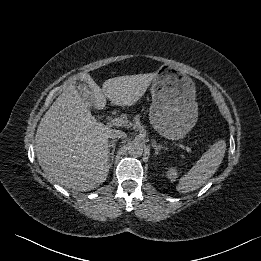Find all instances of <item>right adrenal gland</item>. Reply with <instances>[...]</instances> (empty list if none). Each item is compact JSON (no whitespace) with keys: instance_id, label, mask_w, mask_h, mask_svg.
Here are the masks:
<instances>
[{"instance_id":"1","label":"right adrenal gland","mask_w":261,"mask_h":261,"mask_svg":"<svg viewBox=\"0 0 261 261\" xmlns=\"http://www.w3.org/2000/svg\"><path fill=\"white\" fill-rule=\"evenodd\" d=\"M116 139L112 140L109 145H108V153L110 155V159H109V166L111 167L113 164V160H114V152H115V147H116ZM112 147V151L110 152V148Z\"/></svg>"}]
</instances>
